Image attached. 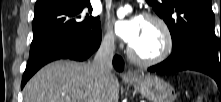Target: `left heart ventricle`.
Here are the masks:
<instances>
[{
  "mask_svg": "<svg viewBox=\"0 0 221 102\" xmlns=\"http://www.w3.org/2000/svg\"><path fill=\"white\" fill-rule=\"evenodd\" d=\"M164 46V37L160 28L153 22L142 20L138 38L131 47L143 58H151L158 55Z\"/></svg>",
  "mask_w": 221,
  "mask_h": 102,
  "instance_id": "b2bd125f",
  "label": "left heart ventricle"
}]
</instances>
